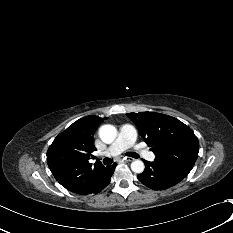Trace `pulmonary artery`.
<instances>
[{"instance_id": "e3ab8cb5", "label": "pulmonary artery", "mask_w": 233, "mask_h": 233, "mask_svg": "<svg viewBox=\"0 0 233 233\" xmlns=\"http://www.w3.org/2000/svg\"><path fill=\"white\" fill-rule=\"evenodd\" d=\"M137 132L133 125L124 124L120 128L119 136L117 140L107 149L105 155L117 156L128 148H133L138 153L142 154L146 159L153 160L154 154L146 150H142L140 146L136 144Z\"/></svg>"}]
</instances>
